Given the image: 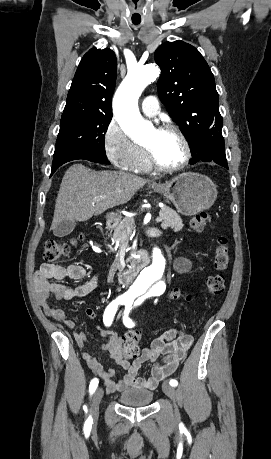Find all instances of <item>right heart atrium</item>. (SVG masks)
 Here are the masks:
<instances>
[{
	"mask_svg": "<svg viewBox=\"0 0 271 459\" xmlns=\"http://www.w3.org/2000/svg\"><path fill=\"white\" fill-rule=\"evenodd\" d=\"M102 145L106 157L121 169L129 168L139 154V144L131 141L115 120H111L104 129Z\"/></svg>",
	"mask_w": 271,
	"mask_h": 459,
	"instance_id": "obj_1",
	"label": "right heart atrium"
}]
</instances>
